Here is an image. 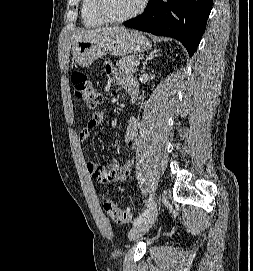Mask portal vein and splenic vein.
<instances>
[{"label": "portal vein and splenic vein", "mask_w": 253, "mask_h": 271, "mask_svg": "<svg viewBox=\"0 0 253 271\" xmlns=\"http://www.w3.org/2000/svg\"><path fill=\"white\" fill-rule=\"evenodd\" d=\"M139 64H140L139 61H135V63H134L135 66H138Z\"/></svg>", "instance_id": "portal-vein-and-splenic-vein-1"}]
</instances>
